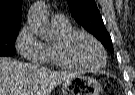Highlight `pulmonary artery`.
<instances>
[{
    "label": "pulmonary artery",
    "mask_w": 135,
    "mask_h": 95,
    "mask_svg": "<svg viewBox=\"0 0 135 95\" xmlns=\"http://www.w3.org/2000/svg\"><path fill=\"white\" fill-rule=\"evenodd\" d=\"M52 22H53V23H56V24H57V23H58V24L65 23V22H66V18H65V16L62 15V14H56V15L53 16Z\"/></svg>",
    "instance_id": "1"
}]
</instances>
